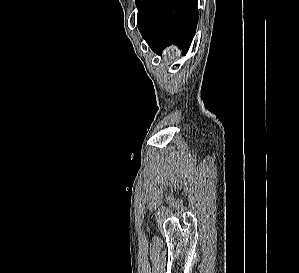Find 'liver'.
Listing matches in <instances>:
<instances>
[{
	"mask_svg": "<svg viewBox=\"0 0 299 273\" xmlns=\"http://www.w3.org/2000/svg\"><path fill=\"white\" fill-rule=\"evenodd\" d=\"M166 54L170 55V54H177V48L175 47H171L166 51Z\"/></svg>",
	"mask_w": 299,
	"mask_h": 273,
	"instance_id": "1",
	"label": "liver"
}]
</instances>
